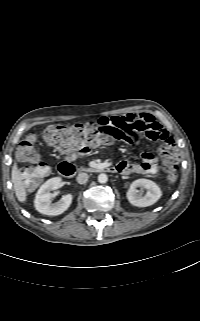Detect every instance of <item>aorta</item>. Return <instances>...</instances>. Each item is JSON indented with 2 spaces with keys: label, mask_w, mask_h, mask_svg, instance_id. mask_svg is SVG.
<instances>
[{
  "label": "aorta",
  "mask_w": 200,
  "mask_h": 321,
  "mask_svg": "<svg viewBox=\"0 0 200 321\" xmlns=\"http://www.w3.org/2000/svg\"><path fill=\"white\" fill-rule=\"evenodd\" d=\"M107 181H108V176H107L106 174L101 173V174L98 175V182H99V183L104 184V183H106Z\"/></svg>",
  "instance_id": "1"
}]
</instances>
